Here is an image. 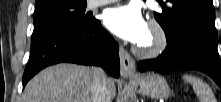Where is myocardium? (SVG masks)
Instances as JSON below:
<instances>
[{
    "mask_svg": "<svg viewBox=\"0 0 221 102\" xmlns=\"http://www.w3.org/2000/svg\"><path fill=\"white\" fill-rule=\"evenodd\" d=\"M148 31L151 35L149 44H139L136 48L138 55L150 58L159 55L167 46V36L163 27L156 21H151Z\"/></svg>",
    "mask_w": 221,
    "mask_h": 102,
    "instance_id": "f54148a6",
    "label": "myocardium"
}]
</instances>
